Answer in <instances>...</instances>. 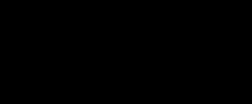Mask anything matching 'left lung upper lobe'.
<instances>
[{
  "mask_svg": "<svg viewBox=\"0 0 252 104\" xmlns=\"http://www.w3.org/2000/svg\"><path fill=\"white\" fill-rule=\"evenodd\" d=\"M214 64L208 52L202 47H196L194 52L193 63L190 68H187L182 77H204L213 75Z\"/></svg>",
  "mask_w": 252,
  "mask_h": 104,
  "instance_id": "1",
  "label": "left lung upper lobe"
}]
</instances>
